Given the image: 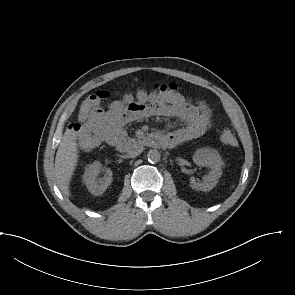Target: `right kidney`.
Masks as SVG:
<instances>
[{
	"label": "right kidney",
	"mask_w": 295,
	"mask_h": 295,
	"mask_svg": "<svg viewBox=\"0 0 295 295\" xmlns=\"http://www.w3.org/2000/svg\"><path fill=\"white\" fill-rule=\"evenodd\" d=\"M105 172L103 178H98L100 172ZM88 190L96 196L102 195L107 187L112 182V171L109 168H103L100 162L95 161L93 164H89L83 175Z\"/></svg>",
	"instance_id": "right-kidney-1"
}]
</instances>
